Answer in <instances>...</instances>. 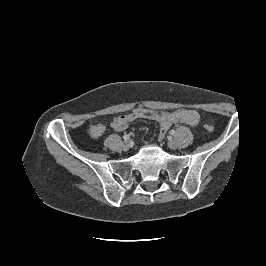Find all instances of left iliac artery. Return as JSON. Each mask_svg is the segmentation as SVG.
<instances>
[{
	"instance_id": "obj_1",
	"label": "left iliac artery",
	"mask_w": 266,
	"mask_h": 266,
	"mask_svg": "<svg viewBox=\"0 0 266 266\" xmlns=\"http://www.w3.org/2000/svg\"><path fill=\"white\" fill-rule=\"evenodd\" d=\"M170 134H171V135H175V130H171V131H170Z\"/></svg>"
}]
</instances>
